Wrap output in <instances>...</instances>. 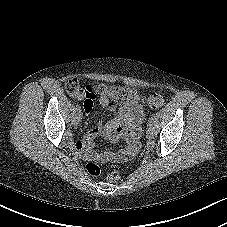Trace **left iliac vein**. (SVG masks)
Returning a JSON list of instances; mask_svg holds the SVG:
<instances>
[{
	"label": "left iliac vein",
	"instance_id": "1",
	"mask_svg": "<svg viewBox=\"0 0 227 227\" xmlns=\"http://www.w3.org/2000/svg\"><path fill=\"white\" fill-rule=\"evenodd\" d=\"M147 135L150 137V138H153L155 136V129L152 125L148 126L147 128Z\"/></svg>",
	"mask_w": 227,
	"mask_h": 227
}]
</instances>
